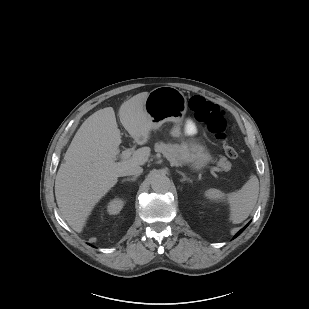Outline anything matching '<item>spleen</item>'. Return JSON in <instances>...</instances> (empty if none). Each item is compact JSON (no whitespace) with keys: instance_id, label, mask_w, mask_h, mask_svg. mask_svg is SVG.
I'll return each mask as SVG.
<instances>
[{"instance_id":"3e777b00","label":"spleen","mask_w":309,"mask_h":309,"mask_svg":"<svg viewBox=\"0 0 309 309\" xmlns=\"http://www.w3.org/2000/svg\"><path fill=\"white\" fill-rule=\"evenodd\" d=\"M259 194V181L255 175H251L250 179L243 185L238 192L227 195L230 205V220L234 224L243 222L251 214L254 209ZM205 197L209 200H223L226 195L215 188L205 191Z\"/></svg>"}]
</instances>
